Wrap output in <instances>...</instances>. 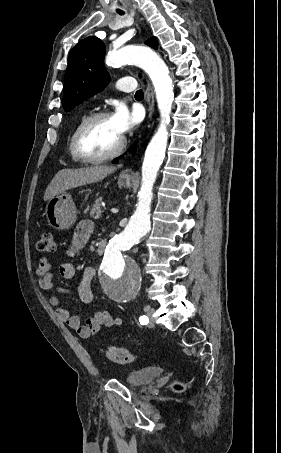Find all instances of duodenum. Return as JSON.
<instances>
[{"label": "duodenum", "instance_id": "410a0bca", "mask_svg": "<svg viewBox=\"0 0 281 453\" xmlns=\"http://www.w3.org/2000/svg\"><path fill=\"white\" fill-rule=\"evenodd\" d=\"M106 249V242L104 240H100L97 244L96 251L98 255H103Z\"/></svg>", "mask_w": 281, "mask_h": 453}]
</instances>
